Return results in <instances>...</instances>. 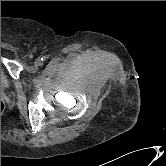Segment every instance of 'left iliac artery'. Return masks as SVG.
Listing matches in <instances>:
<instances>
[{
	"label": "left iliac artery",
	"mask_w": 166,
	"mask_h": 166,
	"mask_svg": "<svg viewBox=\"0 0 166 166\" xmlns=\"http://www.w3.org/2000/svg\"><path fill=\"white\" fill-rule=\"evenodd\" d=\"M41 60H42V61H45V60H46V57L41 58Z\"/></svg>",
	"instance_id": "left-iliac-artery-1"
}]
</instances>
